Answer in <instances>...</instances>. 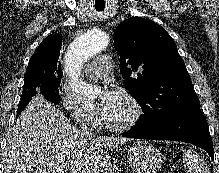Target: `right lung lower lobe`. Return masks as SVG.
<instances>
[{
    "label": "right lung lower lobe",
    "mask_w": 219,
    "mask_h": 173,
    "mask_svg": "<svg viewBox=\"0 0 219 173\" xmlns=\"http://www.w3.org/2000/svg\"><path fill=\"white\" fill-rule=\"evenodd\" d=\"M34 95H36V93L31 94V95H25V94L22 95L20 104H19L18 109H17V116L23 111V109L31 101V99Z\"/></svg>",
    "instance_id": "1"
}]
</instances>
